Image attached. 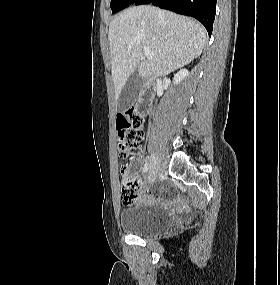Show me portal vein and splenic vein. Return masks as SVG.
Here are the masks:
<instances>
[{
  "label": "portal vein and splenic vein",
  "mask_w": 280,
  "mask_h": 285,
  "mask_svg": "<svg viewBox=\"0 0 280 285\" xmlns=\"http://www.w3.org/2000/svg\"><path fill=\"white\" fill-rule=\"evenodd\" d=\"M143 53L149 60H152L154 58V54L150 51L148 47L143 48Z\"/></svg>",
  "instance_id": "portal-vein-and-splenic-vein-1"
}]
</instances>
